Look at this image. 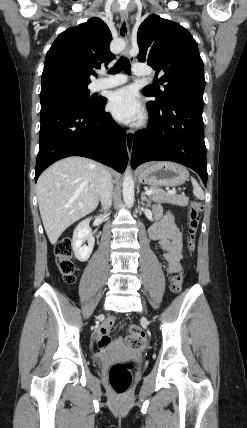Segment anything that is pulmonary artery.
Listing matches in <instances>:
<instances>
[{
  "instance_id": "obj_1",
  "label": "pulmonary artery",
  "mask_w": 247,
  "mask_h": 428,
  "mask_svg": "<svg viewBox=\"0 0 247 428\" xmlns=\"http://www.w3.org/2000/svg\"><path fill=\"white\" fill-rule=\"evenodd\" d=\"M133 73L136 76H147L150 74V69L144 64L137 63L133 66ZM126 81H127V77L125 75H122V74L112 75V76H108L106 78L98 80L95 83L94 88L96 90L113 88L124 84Z\"/></svg>"
}]
</instances>
